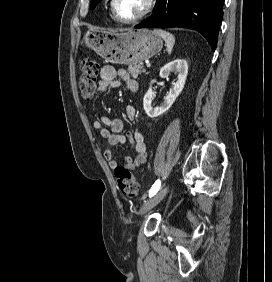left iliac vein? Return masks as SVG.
Wrapping results in <instances>:
<instances>
[{
	"instance_id": "left-iliac-vein-1",
	"label": "left iliac vein",
	"mask_w": 272,
	"mask_h": 282,
	"mask_svg": "<svg viewBox=\"0 0 272 282\" xmlns=\"http://www.w3.org/2000/svg\"><path fill=\"white\" fill-rule=\"evenodd\" d=\"M169 187H163L159 192H157L153 197H151L148 201H146L142 207L140 208L139 214L140 216L147 213L153 207H155L168 193Z\"/></svg>"
}]
</instances>
